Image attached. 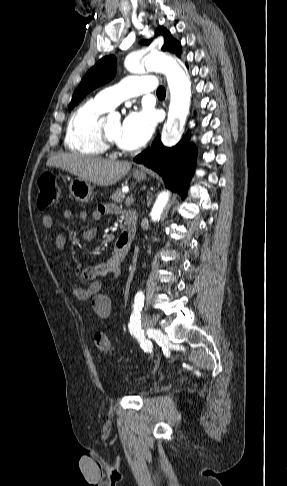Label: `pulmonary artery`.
I'll return each instance as SVG.
<instances>
[{"label":"pulmonary artery","instance_id":"1","mask_svg":"<svg viewBox=\"0 0 287 486\" xmlns=\"http://www.w3.org/2000/svg\"><path fill=\"white\" fill-rule=\"evenodd\" d=\"M154 76L128 77L117 85L99 91L95 99L108 109H112L122 101L156 89Z\"/></svg>","mask_w":287,"mask_h":486}]
</instances>
